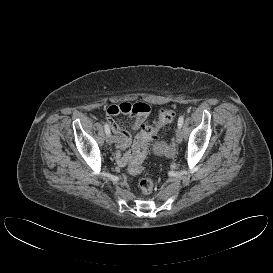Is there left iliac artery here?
<instances>
[{"mask_svg":"<svg viewBox=\"0 0 273 273\" xmlns=\"http://www.w3.org/2000/svg\"><path fill=\"white\" fill-rule=\"evenodd\" d=\"M183 122H184V117H183V116H180L179 119H178V127H179V128L182 127Z\"/></svg>","mask_w":273,"mask_h":273,"instance_id":"left-iliac-artery-1","label":"left iliac artery"}]
</instances>
